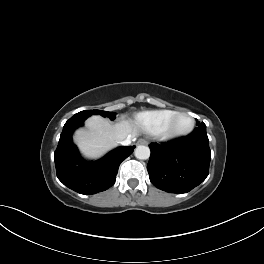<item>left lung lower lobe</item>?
Wrapping results in <instances>:
<instances>
[{"mask_svg": "<svg viewBox=\"0 0 264 264\" xmlns=\"http://www.w3.org/2000/svg\"><path fill=\"white\" fill-rule=\"evenodd\" d=\"M147 165L151 183L170 193H186L202 183L209 173L211 151L206 127L168 143H151Z\"/></svg>", "mask_w": 264, "mask_h": 264, "instance_id": "0a47b994", "label": "left lung lower lobe"}]
</instances>
